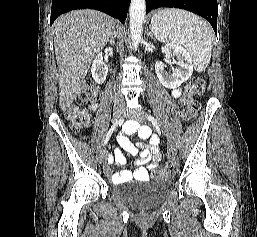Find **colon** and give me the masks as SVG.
Returning <instances> with one entry per match:
<instances>
[{
    "label": "colon",
    "instance_id": "obj_1",
    "mask_svg": "<svg viewBox=\"0 0 257 237\" xmlns=\"http://www.w3.org/2000/svg\"><path fill=\"white\" fill-rule=\"evenodd\" d=\"M206 87L204 76H194L186 85L184 95L181 99L179 110L181 117L186 121L193 120L198 112V104L194 101V96L202 94ZM96 97V90L90 83H86L79 91L76 102L70 105L66 110V117L70 121L73 130L81 131L89 123V117L82 104L93 100ZM173 163L155 170L152 174L154 180L168 179L173 170Z\"/></svg>",
    "mask_w": 257,
    "mask_h": 237
}]
</instances>
